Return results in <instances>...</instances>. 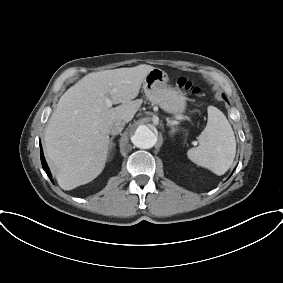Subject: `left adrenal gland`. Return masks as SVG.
Returning <instances> with one entry per match:
<instances>
[{"label": "left adrenal gland", "mask_w": 283, "mask_h": 283, "mask_svg": "<svg viewBox=\"0 0 283 283\" xmlns=\"http://www.w3.org/2000/svg\"><path fill=\"white\" fill-rule=\"evenodd\" d=\"M177 131V129L175 128V127H171V130H170V132H169V134L172 136V135H174V133Z\"/></svg>", "instance_id": "a2214340"}]
</instances>
